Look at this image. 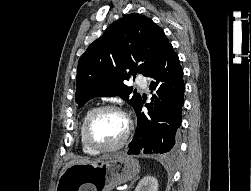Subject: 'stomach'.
<instances>
[{
  "label": "stomach",
  "instance_id": "stomach-1",
  "mask_svg": "<svg viewBox=\"0 0 251 191\" xmlns=\"http://www.w3.org/2000/svg\"><path fill=\"white\" fill-rule=\"evenodd\" d=\"M140 165L133 155L100 157L95 163H75L64 169L56 191H110L133 179Z\"/></svg>",
  "mask_w": 251,
  "mask_h": 191
}]
</instances>
